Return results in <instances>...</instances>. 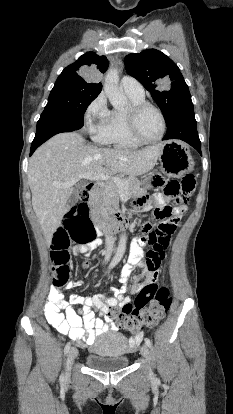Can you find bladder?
Segmentation results:
<instances>
[{
    "label": "bladder",
    "instance_id": "31cf9c89",
    "mask_svg": "<svg viewBox=\"0 0 233 414\" xmlns=\"http://www.w3.org/2000/svg\"><path fill=\"white\" fill-rule=\"evenodd\" d=\"M128 342L126 336L119 331H108L101 335L93 346V353L86 357L89 368L110 372L128 366Z\"/></svg>",
    "mask_w": 233,
    "mask_h": 414
}]
</instances>
